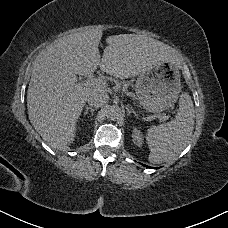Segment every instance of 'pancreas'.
Listing matches in <instances>:
<instances>
[{"label":"pancreas","instance_id":"cf45deb5","mask_svg":"<svg viewBox=\"0 0 228 228\" xmlns=\"http://www.w3.org/2000/svg\"><path fill=\"white\" fill-rule=\"evenodd\" d=\"M122 83H123L124 85H129V84H130L129 81H123Z\"/></svg>","mask_w":228,"mask_h":228}]
</instances>
